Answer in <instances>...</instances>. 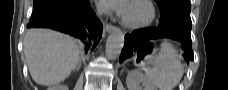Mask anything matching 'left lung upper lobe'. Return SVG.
Masks as SVG:
<instances>
[{
    "instance_id": "left-lung-upper-lobe-1",
    "label": "left lung upper lobe",
    "mask_w": 228,
    "mask_h": 90,
    "mask_svg": "<svg viewBox=\"0 0 228 90\" xmlns=\"http://www.w3.org/2000/svg\"><path fill=\"white\" fill-rule=\"evenodd\" d=\"M161 12V18L179 20L189 23L191 3L190 0H155Z\"/></svg>"
}]
</instances>
